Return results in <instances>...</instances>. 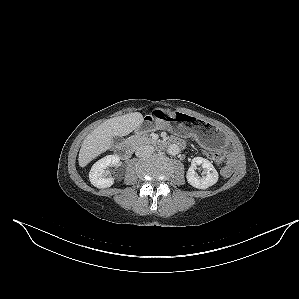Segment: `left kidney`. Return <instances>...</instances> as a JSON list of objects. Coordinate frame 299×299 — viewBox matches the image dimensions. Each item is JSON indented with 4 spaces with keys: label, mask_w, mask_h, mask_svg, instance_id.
I'll return each mask as SVG.
<instances>
[{
    "label": "left kidney",
    "mask_w": 299,
    "mask_h": 299,
    "mask_svg": "<svg viewBox=\"0 0 299 299\" xmlns=\"http://www.w3.org/2000/svg\"><path fill=\"white\" fill-rule=\"evenodd\" d=\"M198 165L205 169V176L199 177L195 172ZM218 172L212 163L202 157H195L192 159L191 166L187 171L186 178L190 185L198 189H207L218 181Z\"/></svg>",
    "instance_id": "1"
}]
</instances>
